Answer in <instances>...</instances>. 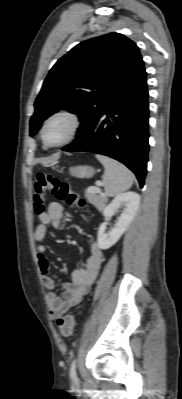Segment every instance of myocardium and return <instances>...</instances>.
Listing matches in <instances>:
<instances>
[{"mask_svg":"<svg viewBox=\"0 0 182 399\" xmlns=\"http://www.w3.org/2000/svg\"><path fill=\"white\" fill-rule=\"evenodd\" d=\"M57 118H65V119L69 120V122L71 124V128H70L69 134L63 141H61L58 144H49L46 141V136H45L46 128L52 120L57 119ZM81 127H82V121L76 112H74L73 110H70V109H65V108L59 109V110H56L55 112H53L52 114H50L45 119L42 129H41V138H42L44 145L48 148L61 147V146L68 144L72 140H74L77 137V135L79 134Z\"/></svg>","mask_w":182,"mask_h":399,"instance_id":"1","label":"myocardium"}]
</instances>
